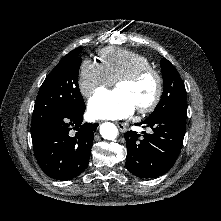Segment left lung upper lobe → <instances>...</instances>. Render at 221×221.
I'll list each match as a JSON object with an SVG mask.
<instances>
[{"instance_id": "left-lung-upper-lobe-1", "label": "left lung upper lobe", "mask_w": 221, "mask_h": 221, "mask_svg": "<svg viewBox=\"0 0 221 221\" xmlns=\"http://www.w3.org/2000/svg\"><path fill=\"white\" fill-rule=\"evenodd\" d=\"M163 75V94L148 118L162 116L175 109H187L186 90L176 68L166 58L160 62Z\"/></svg>"}]
</instances>
